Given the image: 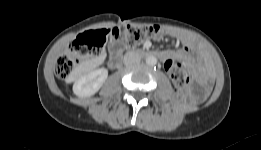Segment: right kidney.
I'll use <instances>...</instances> for the list:
<instances>
[{"label": "right kidney", "instance_id": "obj_1", "mask_svg": "<svg viewBox=\"0 0 261 150\" xmlns=\"http://www.w3.org/2000/svg\"><path fill=\"white\" fill-rule=\"evenodd\" d=\"M107 77L108 70L106 68L93 70L74 83L73 92L78 97H90L99 91Z\"/></svg>", "mask_w": 261, "mask_h": 150}]
</instances>
